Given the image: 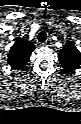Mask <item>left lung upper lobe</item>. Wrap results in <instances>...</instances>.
<instances>
[{"label": "left lung upper lobe", "instance_id": "1", "mask_svg": "<svg viewBox=\"0 0 81 124\" xmlns=\"http://www.w3.org/2000/svg\"><path fill=\"white\" fill-rule=\"evenodd\" d=\"M58 58L66 72L74 73L76 69L81 67V53L72 41L67 42L59 51Z\"/></svg>", "mask_w": 81, "mask_h": 124}]
</instances>
